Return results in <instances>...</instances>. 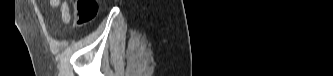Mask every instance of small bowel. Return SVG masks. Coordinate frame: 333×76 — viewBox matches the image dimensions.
<instances>
[{
  "label": "small bowel",
  "instance_id": "small-bowel-1",
  "mask_svg": "<svg viewBox=\"0 0 333 76\" xmlns=\"http://www.w3.org/2000/svg\"><path fill=\"white\" fill-rule=\"evenodd\" d=\"M50 5L53 7H59L61 11V17L64 23H69L70 21V9L67 1L61 0H50Z\"/></svg>",
  "mask_w": 333,
  "mask_h": 76
}]
</instances>
